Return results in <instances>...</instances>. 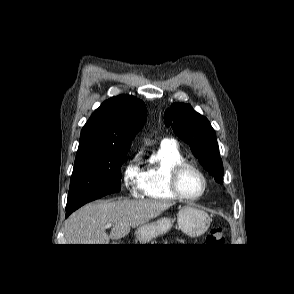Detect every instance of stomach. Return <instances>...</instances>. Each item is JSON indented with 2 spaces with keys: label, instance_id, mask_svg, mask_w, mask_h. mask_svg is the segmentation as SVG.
Masks as SVG:
<instances>
[{
  "label": "stomach",
  "instance_id": "1",
  "mask_svg": "<svg viewBox=\"0 0 294 294\" xmlns=\"http://www.w3.org/2000/svg\"><path fill=\"white\" fill-rule=\"evenodd\" d=\"M210 217L200 209L192 206L182 207L177 215L179 229L189 237H199L210 226ZM172 227L169 218L163 217L154 222L139 226L135 231V240L138 244H147L152 239L167 233Z\"/></svg>",
  "mask_w": 294,
  "mask_h": 294
}]
</instances>
